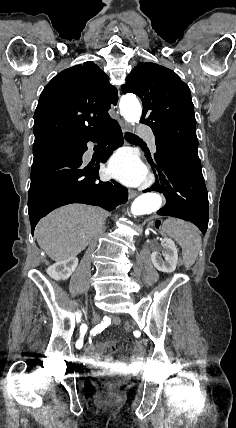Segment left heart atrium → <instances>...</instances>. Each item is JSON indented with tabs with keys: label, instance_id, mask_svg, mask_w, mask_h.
Segmentation results:
<instances>
[{
	"label": "left heart atrium",
	"instance_id": "1",
	"mask_svg": "<svg viewBox=\"0 0 236 428\" xmlns=\"http://www.w3.org/2000/svg\"><path fill=\"white\" fill-rule=\"evenodd\" d=\"M108 174L123 183L137 185L143 180L145 171L135 156L121 151L111 159Z\"/></svg>",
	"mask_w": 236,
	"mask_h": 428
}]
</instances>
